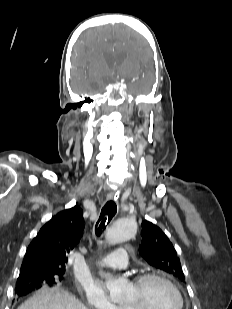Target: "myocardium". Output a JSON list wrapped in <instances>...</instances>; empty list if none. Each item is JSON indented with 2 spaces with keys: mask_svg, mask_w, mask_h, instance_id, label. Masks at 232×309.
<instances>
[{
  "mask_svg": "<svg viewBox=\"0 0 232 309\" xmlns=\"http://www.w3.org/2000/svg\"><path fill=\"white\" fill-rule=\"evenodd\" d=\"M153 279H157L160 280L164 283H166L168 286H170L172 288V290L175 292V294L178 297L179 300V305L177 307V309H183L184 308V297L179 289V287L177 286V284L172 281L168 276H166L163 273L160 272H155V271H149V272H143L141 274L136 275L133 280H132V284L136 287H141L143 286L146 282L153 280ZM123 309H143V307L141 306H134L131 304H123Z\"/></svg>",
  "mask_w": 232,
  "mask_h": 309,
  "instance_id": "myocardium-1",
  "label": "myocardium"
}]
</instances>
